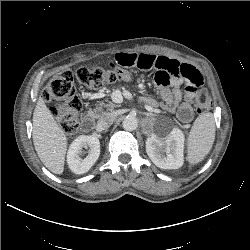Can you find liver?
I'll return each instance as SVG.
<instances>
[{"instance_id":"obj_1","label":"liver","mask_w":250,"mask_h":250,"mask_svg":"<svg viewBox=\"0 0 250 250\" xmlns=\"http://www.w3.org/2000/svg\"><path fill=\"white\" fill-rule=\"evenodd\" d=\"M33 143L38 157L52 173L62 174L67 151V137L39 97L33 113Z\"/></svg>"}]
</instances>
